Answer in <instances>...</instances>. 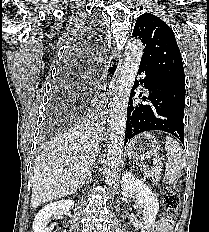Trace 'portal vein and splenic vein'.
<instances>
[{
  "instance_id": "1",
  "label": "portal vein and splenic vein",
  "mask_w": 209,
  "mask_h": 232,
  "mask_svg": "<svg viewBox=\"0 0 209 232\" xmlns=\"http://www.w3.org/2000/svg\"><path fill=\"white\" fill-rule=\"evenodd\" d=\"M164 159H165L164 157H163V158H160V159L154 158V159H153V165H157V164L161 165V163H162V161H163Z\"/></svg>"
}]
</instances>
